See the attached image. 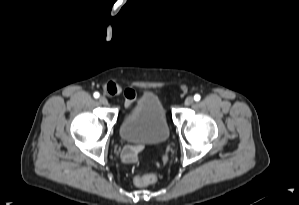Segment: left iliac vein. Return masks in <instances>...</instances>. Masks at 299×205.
<instances>
[{"instance_id":"obj_1","label":"left iliac vein","mask_w":299,"mask_h":205,"mask_svg":"<svg viewBox=\"0 0 299 205\" xmlns=\"http://www.w3.org/2000/svg\"><path fill=\"white\" fill-rule=\"evenodd\" d=\"M193 102H194V98H193L192 96H188V97L185 99L184 104H185L186 106H189V105L193 104Z\"/></svg>"}]
</instances>
